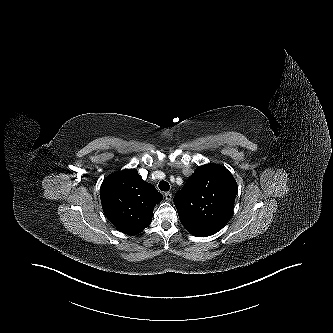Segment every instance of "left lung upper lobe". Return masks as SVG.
<instances>
[{
  "instance_id": "obj_1",
  "label": "left lung upper lobe",
  "mask_w": 333,
  "mask_h": 333,
  "mask_svg": "<svg viewBox=\"0 0 333 333\" xmlns=\"http://www.w3.org/2000/svg\"><path fill=\"white\" fill-rule=\"evenodd\" d=\"M237 191V183L225 167H197L174 197L182 225L197 237L217 233L233 211Z\"/></svg>"
}]
</instances>
